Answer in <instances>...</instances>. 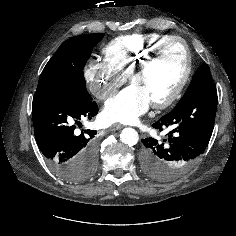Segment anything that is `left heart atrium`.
<instances>
[{
  "label": "left heart atrium",
  "mask_w": 236,
  "mask_h": 236,
  "mask_svg": "<svg viewBox=\"0 0 236 236\" xmlns=\"http://www.w3.org/2000/svg\"><path fill=\"white\" fill-rule=\"evenodd\" d=\"M150 104L143 88L133 83L106 102L102 118L106 123H134Z\"/></svg>",
  "instance_id": "39dd6f15"
}]
</instances>
